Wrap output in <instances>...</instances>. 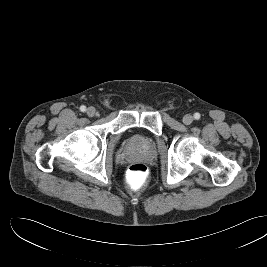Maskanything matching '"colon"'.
Wrapping results in <instances>:
<instances>
[{
	"label": "colon",
	"mask_w": 267,
	"mask_h": 267,
	"mask_svg": "<svg viewBox=\"0 0 267 267\" xmlns=\"http://www.w3.org/2000/svg\"><path fill=\"white\" fill-rule=\"evenodd\" d=\"M149 171L143 163H133L129 166L126 174L127 184L133 190H139L144 187L148 181Z\"/></svg>",
	"instance_id": "5ec220e1"
}]
</instances>
